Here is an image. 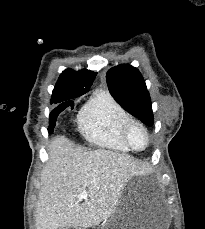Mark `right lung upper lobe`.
Segmentation results:
<instances>
[{"instance_id": "obj_1", "label": "right lung upper lobe", "mask_w": 205, "mask_h": 229, "mask_svg": "<svg viewBox=\"0 0 205 229\" xmlns=\"http://www.w3.org/2000/svg\"><path fill=\"white\" fill-rule=\"evenodd\" d=\"M97 73L89 70L75 72L67 69L62 72L52 93L51 103L68 102L90 90Z\"/></svg>"}]
</instances>
